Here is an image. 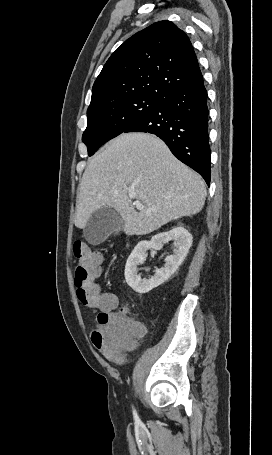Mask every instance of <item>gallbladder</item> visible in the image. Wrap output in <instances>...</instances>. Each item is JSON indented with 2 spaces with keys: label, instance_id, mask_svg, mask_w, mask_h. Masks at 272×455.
I'll return each instance as SVG.
<instances>
[{
  "label": "gallbladder",
  "instance_id": "obj_1",
  "mask_svg": "<svg viewBox=\"0 0 272 455\" xmlns=\"http://www.w3.org/2000/svg\"><path fill=\"white\" fill-rule=\"evenodd\" d=\"M123 227L121 217L111 207L103 206L95 211L83 229L86 241L98 245L108 236L117 233Z\"/></svg>",
  "mask_w": 272,
  "mask_h": 455
}]
</instances>
